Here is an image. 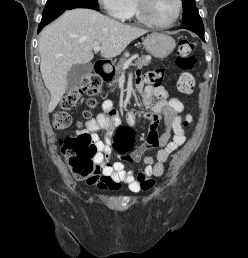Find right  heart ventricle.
I'll return each instance as SVG.
<instances>
[{
	"mask_svg": "<svg viewBox=\"0 0 248 258\" xmlns=\"http://www.w3.org/2000/svg\"><path fill=\"white\" fill-rule=\"evenodd\" d=\"M127 19H132V18H135V19H138V15H137V11H136V5H135V0H131V9L126 17Z\"/></svg>",
	"mask_w": 248,
	"mask_h": 258,
	"instance_id": "1",
	"label": "right heart ventricle"
}]
</instances>
